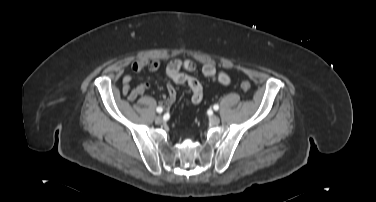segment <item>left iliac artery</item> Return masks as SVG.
<instances>
[{"label":"left iliac artery","instance_id":"obj_1","mask_svg":"<svg viewBox=\"0 0 376 202\" xmlns=\"http://www.w3.org/2000/svg\"><path fill=\"white\" fill-rule=\"evenodd\" d=\"M213 108H214V110H218L219 109V105L218 104H215L214 106H213Z\"/></svg>","mask_w":376,"mask_h":202}]
</instances>
